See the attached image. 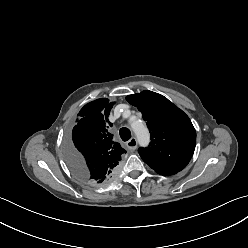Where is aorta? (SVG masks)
<instances>
[{
    "label": "aorta",
    "mask_w": 248,
    "mask_h": 248,
    "mask_svg": "<svg viewBox=\"0 0 248 248\" xmlns=\"http://www.w3.org/2000/svg\"><path fill=\"white\" fill-rule=\"evenodd\" d=\"M133 131L136 134V137L139 143L142 146H146L149 143V132L146 126L141 122H136L131 125Z\"/></svg>",
    "instance_id": "762f6f07"
}]
</instances>
